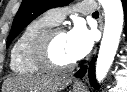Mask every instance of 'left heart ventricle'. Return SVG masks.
<instances>
[{
	"instance_id": "left-heart-ventricle-1",
	"label": "left heart ventricle",
	"mask_w": 127,
	"mask_h": 92,
	"mask_svg": "<svg viewBox=\"0 0 127 92\" xmlns=\"http://www.w3.org/2000/svg\"><path fill=\"white\" fill-rule=\"evenodd\" d=\"M53 58L60 64L75 61L69 51L67 33H59L55 36L52 45Z\"/></svg>"
}]
</instances>
